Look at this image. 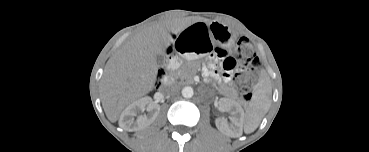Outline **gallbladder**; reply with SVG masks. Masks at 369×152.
Wrapping results in <instances>:
<instances>
[{
	"label": "gallbladder",
	"instance_id": "obj_1",
	"mask_svg": "<svg viewBox=\"0 0 369 152\" xmlns=\"http://www.w3.org/2000/svg\"><path fill=\"white\" fill-rule=\"evenodd\" d=\"M158 61H159L160 63H162V62H163V59H162V58H159V59H158Z\"/></svg>",
	"mask_w": 369,
	"mask_h": 152
}]
</instances>
